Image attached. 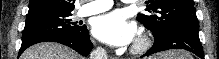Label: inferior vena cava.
Returning a JSON list of instances; mask_svg holds the SVG:
<instances>
[{"label": "inferior vena cava", "instance_id": "1", "mask_svg": "<svg viewBox=\"0 0 219 59\" xmlns=\"http://www.w3.org/2000/svg\"><path fill=\"white\" fill-rule=\"evenodd\" d=\"M90 59H107L106 50L98 47L90 54Z\"/></svg>", "mask_w": 219, "mask_h": 59}]
</instances>
